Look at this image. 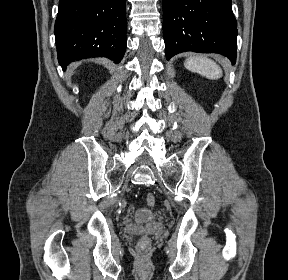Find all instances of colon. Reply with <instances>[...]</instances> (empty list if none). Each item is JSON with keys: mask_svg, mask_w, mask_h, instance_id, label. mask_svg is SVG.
<instances>
[{"mask_svg": "<svg viewBox=\"0 0 288 280\" xmlns=\"http://www.w3.org/2000/svg\"><path fill=\"white\" fill-rule=\"evenodd\" d=\"M145 201H146V204L150 207L154 206L155 205V196L151 193L147 194L146 197H145ZM147 243L146 239H144L142 241V246H145Z\"/></svg>", "mask_w": 288, "mask_h": 280, "instance_id": "obj_1", "label": "colon"}]
</instances>
